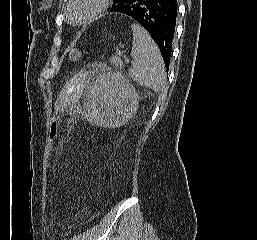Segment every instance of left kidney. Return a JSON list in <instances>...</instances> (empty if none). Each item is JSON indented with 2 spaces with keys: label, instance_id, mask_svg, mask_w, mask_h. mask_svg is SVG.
Wrapping results in <instances>:
<instances>
[{
  "label": "left kidney",
  "instance_id": "5707ae66",
  "mask_svg": "<svg viewBox=\"0 0 257 240\" xmlns=\"http://www.w3.org/2000/svg\"><path fill=\"white\" fill-rule=\"evenodd\" d=\"M138 104V94L121 73L107 74L93 85L88 119L98 127H120L136 114Z\"/></svg>",
  "mask_w": 257,
  "mask_h": 240
}]
</instances>
